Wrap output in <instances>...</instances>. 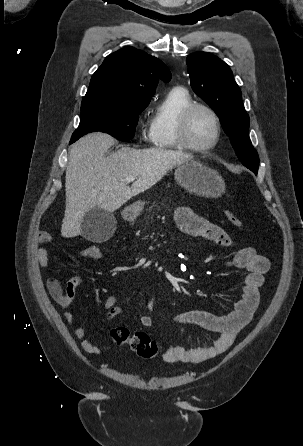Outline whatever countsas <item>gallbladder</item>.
<instances>
[{
  "mask_svg": "<svg viewBox=\"0 0 303 446\" xmlns=\"http://www.w3.org/2000/svg\"><path fill=\"white\" fill-rule=\"evenodd\" d=\"M116 228V220L112 213L99 207L88 211L81 222V235L87 240L101 242L109 239Z\"/></svg>",
  "mask_w": 303,
  "mask_h": 446,
  "instance_id": "obj_1",
  "label": "gallbladder"
}]
</instances>
